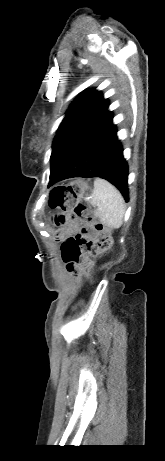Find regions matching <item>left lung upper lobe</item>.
<instances>
[{"label":"left lung upper lobe","mask_w":165,"mask_h":461,"mask_svg":"<svg viewBox=\"0 0 165 461\" xmlns=\"http://www.w3.org/2000/svg\"><path fill=\"white\" fill-rule=\"evenodd\" d=\"M109 102L95 89L82 93L69 107L52 145L50 177L80 138L107 111Z\"/></svg>","instance_id":"left-lung-upper-lobe-1"}]
</instances>
